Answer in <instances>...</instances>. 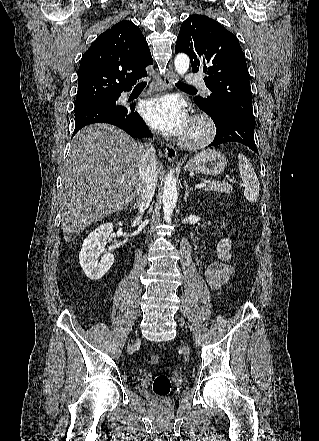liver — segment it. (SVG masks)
I'll list each match as a JSON object with an SVG mask.
<instances>
[{
    "label": "liver",
    "instance_id": "1",
    "mask_svg": "<svg viewBox=\"0 0 319 441\" xmlns=\"http://www.w3.org/2000/svg\"><path fill=\"white\" fill-rule=\"evenodd\" d=\"M139 147L123 130L105 123L88 125L73 137L61 173L65 242L74 240L91 223L131 204L139 185ZM156 171L162 173L160 164Z\"/></svg>",
    "mask_w": 319,
    "mask_h": 441
}]
</instances>
